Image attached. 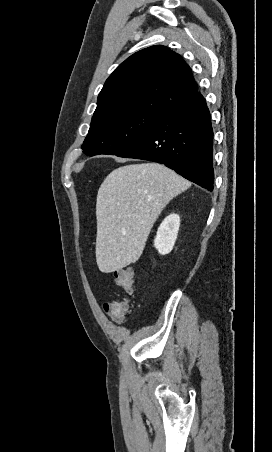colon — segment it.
I'll list each match as a JSON object with an SVG mask.
<instances>
[{"mask_svg": "<svg viewBox=\"0 0 272 452\" xmlns=\"http://www.w3.org/2000/svg\"><path fill=\"white\" fill-rule=\"evenodd\" d=\"M115 281L126 293L131 294L133 292L135 277L131 269L125 268L116 271ZM106 308L110 313L125 316L129 312L130 304L126 299L122 301L113 300L107 303Z\"/></svg>", "mask_w": 272, "mask_h": 452, "instance_id": "colon-1", "label": "colon"}]
</instances>
